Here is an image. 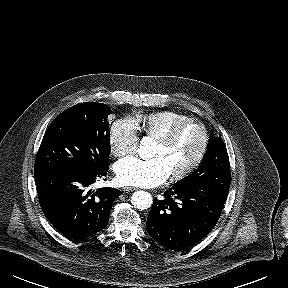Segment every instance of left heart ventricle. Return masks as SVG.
<instances>
[{"label": "left heart ventricle", "instance_id": "b2bd125f", "mask_svg": "<svg viewBox=\"0 0 288 288\" xmlns=\"http://www.w3.org/2000/svg\"><path fill=\"white\" fill-rule=\"evenodd\" d=\"M202 134L194 124L186 126L169 145L156 141L152 156L161 157L170 173L180 171L197 155L201 146Z\"/></svg>", "mask_w": 288, "mask_h": 288}]
</instances>
